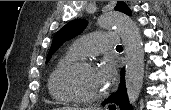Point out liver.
I'll use <instances>...</instances> for the list:
<instances>
[{
	"label": "liver",
	"instance_id": "1",
	"mask_svg": "<svg viewBox=\"0 0 171 110\" xmlns=\"http://www.w3.org/2000/svg\"><path fill=\"white\" fill-rule=\"evenodd\" d=\"M58 110H82L81 108H74V107H62L58 108Z\"/></svg>",
	"mask_w": 171,
	"mask_h": 110
}]
</instances>
